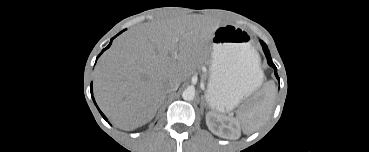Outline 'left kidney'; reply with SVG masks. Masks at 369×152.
<instances>
[{
  "label": "left kidney",
  "instance_id": "1",
  "mask_svg": "<svg viewBox=\"0 0 369 152\" xmlns=\"http://www.w3.org/2000/svg\"><path fill=\"white\" fill-rule=\"evenodd\" d=\"M206 124L209 130L219 137L237 139L240 136L238 123L229 117L208 112L206 114Z\"/></svg>",
  "mask_w": 369,
  "mask_h": 152
}]
</instances>
